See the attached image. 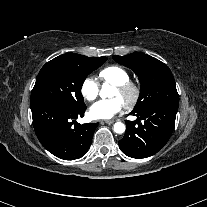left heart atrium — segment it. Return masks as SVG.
<instances>
[{"label":"left heart atrium","instance_id":"39dd6f15","mask_svg":"<svg viewBox=\"0 0 207 207\" xmlns=\"http://www.w3.org/2000/svg\"><path fill=\"white\" fill-rule=\"evenodd\" d=\"M124 109V101L120 98H113L95 102L91 105L89 114L92 118L107 120L123 112Z\"/></svg>","mask_w":207,"mask_h":207}]
</instances>
